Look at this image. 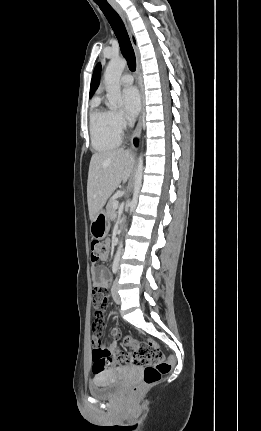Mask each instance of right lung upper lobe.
Listing matches in <instances>:
<instances>
[{
  "mask_svg": "<svg viewBox=\"0 0 261 431\" xmlns=\"http://www.w3.org/2000/svg\"><path fill=\"white\" fill-rule=\"evenodd\" d=\"M100 73H101V64L98 63L95 67L94 73H93V77L91 80V85H90V94L89 97L92 96V94L94 93V91L97 89V87L99 86V82H100Z\"/></svg>",
  "mask_w": 261,
  "mask_h": 431,
  "instance_id": "cb5924a9",
  "label": "right lung upper lobe"
}]
</instances>
